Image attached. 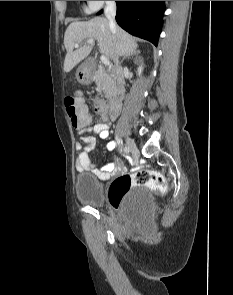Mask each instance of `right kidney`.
I'll list each match as a JSON object with an SVG mask.
<instances>
[{
    "mask_svg": "<svg viewBox=\"0 0 233 295\" xmlns=\"http://www.w3.org/2000/svg\"><path fill=\"white\" fill-rule=\"evenodd\" d=\"M142 70H143V65L141 64V65L138 67V71H137L139 76L141 75Z\"/></svg>",
    "mask_w": 233,
    "mask_h": 295,
    "instance_id": "ca27d5eb",
    "label": "right kidney"
}]
</instances>
